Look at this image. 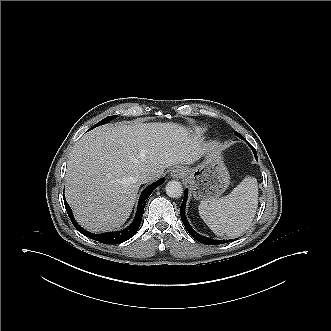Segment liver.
Instances as JSON below:
<instances>
[{"label": "liver", "mask_w": 331, "mask_h": 331, "mask_svg": "<svg viewBox=\"0 0 331 331\" xmlns=\"http://www.w3.org/2000/svg\"><path fill=\"white\" fill-rule=\"evenodd\" d=\"M200 143L175 123L100 126L74 145L67 162L65 196L86 230L112 231L129 218L139 177L177 164L190 165Z\"/></svg>", "instance_id": "liver-1"}]
</instances>
